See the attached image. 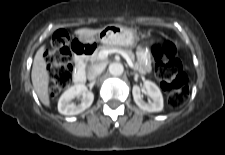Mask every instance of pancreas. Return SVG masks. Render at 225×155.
I'll use <instances>...</instances> for the list:
<instances>
[{
  "label": "pancreas",
  "instance_id": "1",
  "mask_svg": "<svg viewBox=\"0 0 225 155\" xmlns=\"http://www.w3.org/2000/svg\"><path fill=\"white\" fill-rule=\"evenodd\" d=\"M120 49L123 50L124 52H126L128 54V56L130 57V59L134 62L135 61V55L133 53V51L128 48V47H122L121 45H117V44H111V45H104V46H99L95 52L88 58V60L91 63H97L99 62L101 59L99 58L98 54L99 52L103 51V50H108V49Z\"/></svg>",
  "mask_w": 225,
  "mask_h": 155
}]
</instances>
